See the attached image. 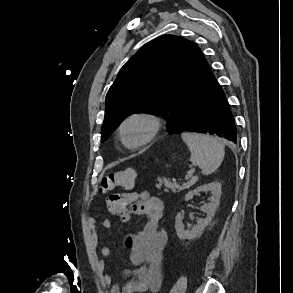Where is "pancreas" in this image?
I'll return each instance as SVG.
<instances>
[{
    "label": "pancreas",
    "mask_w": 293,
    "mask_h": 293,
    "mask_svg": "<svg viewBox=\"0 0 293 293\" xmlns=\"http://www.w3.org/2000/svg\"><path fill=\"white\" fill-rule=\"evenodd\" d=\"M194 184V181L188 182V183H184V184H178L176 182L172 183L170 180L168 179H158V187H161L162 185L165 186L164 191L165 192H173V193H179L181 191H184L186 189H188L190 186H192Z\"/></svg>",
    "instance_id": "pancreas-1"
}]
</instances>
